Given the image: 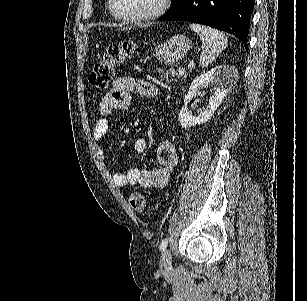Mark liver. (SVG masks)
Listing matches in <instances>:
<instances>
[{"label": "liver", "instance_id": "6515ba94", "mask_svg": "<svg viewBox=\"0 0 307 301\" xmlns=\"http://www.w3.org/2000/svg\"><path fill=\"white\" fill-rule=\"evenodd\" d=\"M119 26V24H118ZM121 28L120 30H131L132 26H123V24H120Z\"/></svg>", "mask_w": 307, "mask_h": 301}]
</instances>
